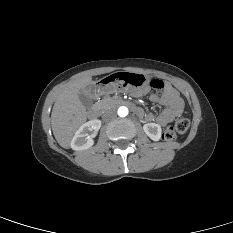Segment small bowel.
Instances as JSON below:
<instances>
[{
  "label": "small bowel",
  "instance_id": "c3829d8e",
  "mask_svg": "<svg viewBox=\"0 0 233 233\" xmlns=\"http://www.w3.org/2000/svg\"><path fill=\"white\" fill-rule=\"evenodd\" d=\"M162 90L163 92L161 94L157 91L152 93L150 99L164 106V110L158 115L148 113L144 115V118L147 122H157L164 126L182 114L184 104L178 92L169 84L165 83V87ZM147 93L148 88L144 87L134 92V95L141 97Z\"/></svg>",
  "mask_w": 233,
  "mask_h": 233
}]
</instances>
